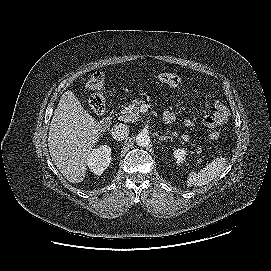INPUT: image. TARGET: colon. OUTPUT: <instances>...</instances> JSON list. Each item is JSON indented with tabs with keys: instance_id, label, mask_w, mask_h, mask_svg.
Returning a JSON list of instances; mask_svg holds the SVG:
<instances>
[{
	"instance_id": "obj_1",
	"label": "colon",
	"mask_w": 271,
	"mask_h": 271,
	"mask_svg": "<svg viewBox=\"0 0 271 271\" xmlns=\"http://www.w3.org/2000/svg\"><path fill=\"white\" fill-rule=\"evenodd\" d=\"M158 79L161 83L170 87H178L182 83L180 76L173 73H160ZM85 87L92 93L89 100L90 110L95 114H102L106 104L104 94V74L99 71L89 76L86 80ZM213 137H217V133H214Z\"/></svg>"
}]
</instances>
